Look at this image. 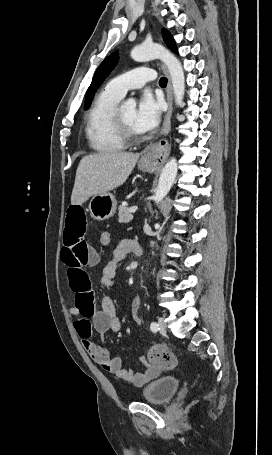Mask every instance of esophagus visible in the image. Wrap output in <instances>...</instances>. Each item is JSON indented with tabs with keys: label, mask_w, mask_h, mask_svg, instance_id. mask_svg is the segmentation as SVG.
<instances>
[{
	"label": "esophagus",
	"mask_w": 272,
	"mask_h": 455,
	"mask_svg": "<svg viewBox=\"0 0 272 455\" xmlns=\"http://www.w3.org/2000/svg\"><path fill=\"white\" fill-rule=\"evenodd\" d=\"M162 70L168 78L167 85V102L168 110L164 119L161 135L166 136L170 131V120L172 114V85L169 72L165 65H162ZM170 153V144L165 138L160 139L157 142L150 143L142 152V158L147 161L154 162L156 164H163L168 158Z\"/></svg>",
	"instance_id": "1"
}]
</instances>
